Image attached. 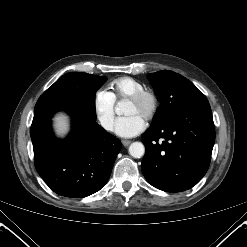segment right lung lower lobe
I'll use <instances>...</instances> for the list:
<instances>
[{
	"instance_id": "obj_1",
	"label": "right lung lower lobe",
	"mask_w": 247,
	"mask_h": 247,
	"mask_svg": "<svg viewBox=\"0 0 247 247\" xmlns=\"http://www.w3.org/2000/svg\"><path fill=\"white\" fill-rule=\"evenodd\" d=\"M58 110L72 117V131L64 140H58L51 129V117ZM95 120V97L51 93L38 99L30 130L34 162L55 193L86 197L108 181L122 144Z\"/></svg>"
}]
</instances>
